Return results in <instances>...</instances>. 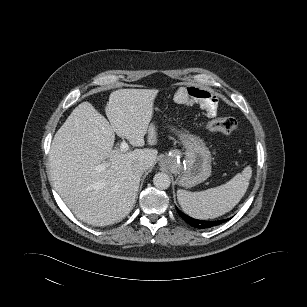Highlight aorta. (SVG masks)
Returning a JSON list of instances; mask_svg holds the SVG:
<instances>
[{"instance_id": "1", "label": "aorta", "mask_w": 307, "mask_h": 307, "mask_svg": "<svg viewBox=\"0 0 307 307\" xmlns=\"http://www.w3.org/2000/svg\"><path fill=\"white\" fill-rule=\"evenodd\" d=\"M153 184L156 188L165 190L169 188L171 184V179L166 173H157L153 177Z\"/></svg>"}]
</instances>
